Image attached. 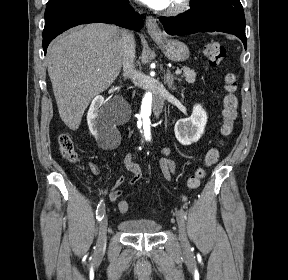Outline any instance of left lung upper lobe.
Instances as JSON below:
<instances>
[{
	"mask_svg": "<svg viewBox=\"0 0 288 280\" xmlns=\"http://www.w3.org/2000/svg\"><path fill=\"white\" fill-rule=\"evenodd\" d=\"M191 8H207L214 12L230 15L245 23L244 10L240 0H192Z\"/></svg>",
	"mask_w": 288,
	"mask_h": 280,
	"instance_id": "left-lung-upper-lobe-1",
	"label": "left lung upper lobe"
}]
</instances>
